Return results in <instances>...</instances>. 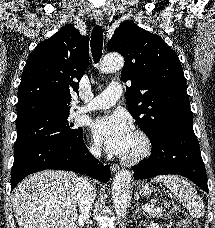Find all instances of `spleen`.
Segmentation results:
<instances>
[{
  "label": "spleen",
  "instance_id": "3e777b00",
  "mask_svg": "<svg viewBox=\"0 0 215 228\" xmlns=\"http://www.w3.org/2000/svg\"><path fill=\"white\" fill-rule=\"evenodd\" d=\"M151 182H163L166 188H170L176 194L179 202L190 212L191 218H203L205 214L204 204L198 196L195 188L181 176H156Z\"/></svg>",
  "mask_w": 215,
  "mask_h": 228
}]
</instances>
